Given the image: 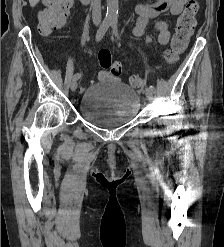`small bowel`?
<instances>
[{
	"label": "small bowel",
	"instance_id": "obj_1",
	"mask_svg": "<svg viewBox=\"0 0 224 247\" xmlns=\"http://www.w3.org/2000/svg\"><path fill=\"white\" fill-rule=\"evenodd\" d=\"M187 0H147L139 3L135 11L138 15L136 24L133 28V35L142 37L145 33L148 21L158 15L169 11L170 14L177 16L181 14ZM158 32V41L160 44H167L170 39V31L168 23L164 20H159L155 24ZM151 39L146 37V42L149 43ZM103 77L107 76L106 73L101 74Z\"/></svg>",
	"mask_w": 224,
	"mask_h": 247
}]
</instances>
